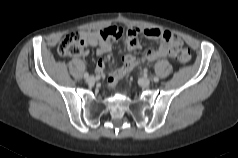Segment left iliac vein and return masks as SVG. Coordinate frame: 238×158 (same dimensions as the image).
<instances>
[{"label": "left iliac vein", "instance_id": "obj_1", "mask_svg": "<svg viewBox=\"0 0 238 158\" xmlns=\"http://www.w3.org/2000/svg\"><path fill=\"white\" fill-rule=\"evenodd\" d=\"M140 83H141V85H143V86H149L150 83H151V81H150L149 78H142V79L140 80Z\"/></svg>", "mask_w": 238, "mask_h": 158}]
</instances>
